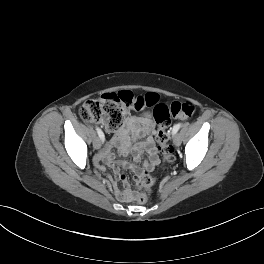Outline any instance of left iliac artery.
I'll return each instance as SVG.
<instances>
[{
    "label": "left iliac artery",
    "instance_id": "left-iliac-artery-1",
    "mask_svg": "<svg viewBox=\"0 0 264 264\" xmlns=\"http://www.w3.org/2000/svg\"><path fill=\"white\" fill-rule=\"evenodd\" d=\"M182 124L179 123V124H176L173 126V129H172V134H176L178 132V130L181 128Z\"/></svg>",
    "mask_w": 264,
    "mask_h": 264
}]
</instances>
